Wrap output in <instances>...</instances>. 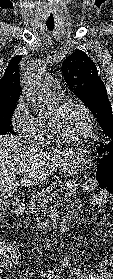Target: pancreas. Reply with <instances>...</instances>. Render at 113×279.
I'll return each mask as SVG.
<instances>
[{
  "label": "pancreas",
  "mask_w": 113,
  "mask_h": 279,
  "mask_svg": "<svg viewBox=\"0 0 113 279\" xmlns=\"http://www.w3.org/2000/svg\"><path fill=\"white\" fill-rule=\"evenodd\" d=\"M68 186L66 187V192L69 195H75L78 192V184H76V180H68ZM55 187V182L49 185L47 188H43L41 191L36 192L32 195L31 201L29 203V209L32 212H36L37 210L41 209L44 210L45 205L49 203L47 197L51 195V189ZM41 218L37 217V228L38 229H46L48 228V222L41 223Z\"/></svg>",
  "instance_id": "1"
}]
</instances>
